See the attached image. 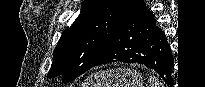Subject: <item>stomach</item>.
I'll list each match as a JSON object with an SVG mask.
<instances>
[{
    "label": "stomach",
    "mask_w": 205,
    "mask_h": 87,
    "mask_svg": "<svg viewBox=\"0 0 205 87\" xmlns=\"http://www.w3.org/2000/svg\"><path fill=\"white\" fill-rule=\"evenodd\" d=\"M142 75L129 68H119L94 73L83 87H143Z\"/></svg>",
    "instance_id": "stomach-1"
}]
</instances>
